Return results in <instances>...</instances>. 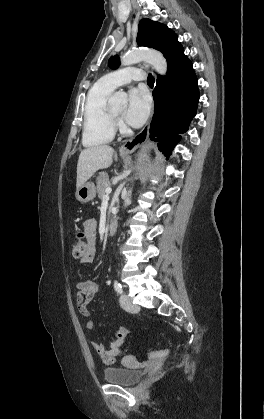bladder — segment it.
I'll return each mask as SVG.
<instances>
[{
    "label": "bladder",
    "mask_w": 264,
    "mask_h": 419,
    "mask_svg": "<svg viewBox=\"0 0 264 419\" xmlns=\"http://www.w3.org/2000/svg\"><path fill=\"white\" fill-rule=\"evenodd\" d=\"M145 375L142 369L133 367L128 363L118 367H108L104 370V380L111 384L133 386Z\"/></svg>",
    "instance_id": "31cf9c89"
}]
</instances>
